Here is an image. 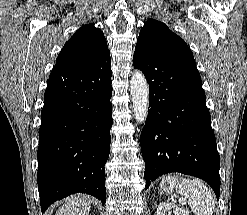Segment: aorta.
Returning <instances> with one entry per match:
<instances>
[{"label": "aorta", "instance_id": "aorta-1", "mask_svg": "<svg viewBox=\"0 0 247 215\" xmlns=\"http://www.w3.org/2000/svg\"><path fill=\"white\" fill-rule=\"evenodd\" d=\"M130 85L135 119L137 123L144 124L148 116L149 87L140 70L134 71Z\"/></svg>", "mask_w": 247, "mask_h": 215}]
</instances>
